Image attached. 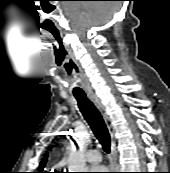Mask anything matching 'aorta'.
Here are the masks:
<instances>
[{
	"label": "aorta",
	"mask_w": 170,
	"mask_h": 173,
	"mask_svg": "<svg viewBox=\"0 0 170 173\" xmlns=\"http://www.w3.org/2000/svg\"><path fill=\"white\" fill-rule=\"evenodd\" d=\"M76 142L80 146V150L77 151L72 148L68 156V169L69 172H85L86 170V160L82 148L88 144L89 135L86 132L76 135Z\"/></svg>",
	"instance_id": "obj_1"
}]
</instances>
